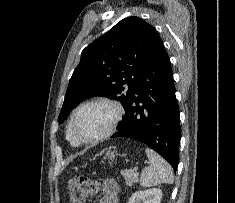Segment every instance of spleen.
<instances>
[{"instance_id": "1", "label": "spleen", "mask_w": 235, "mask_h": 203, "mask_svg": "<svg viewBox=\"0 0 235 203\" xmlns=\"http://www.w3.org/2000/svg\"><path fill=\"white\" fill-rule=\"evenodd\" d=\"M150 166L142 170L140 185L142 187L157 186L162 183L172 184L174 176L171 166L150 148L145 150Z\"/></svg>"}]
</instances>
